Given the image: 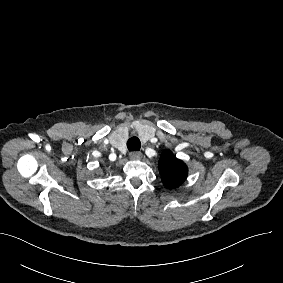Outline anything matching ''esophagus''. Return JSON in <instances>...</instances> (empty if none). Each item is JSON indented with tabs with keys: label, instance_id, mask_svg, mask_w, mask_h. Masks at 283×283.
<instances>
[{
	"label": "esophagus",
	"instance_id": "obj_1",
	"mask_svg": "<svg viewBox=\"0 0 283 283\" xmlns=\"http://www.w3.org/2000/svg\"><path fill=\"white\" fill-rule=\"evenodd\" d=\"M143 157L142 153L139 151H134L129 154L130 160H141Z\"/></svg>",
	"mask_w": 283,
	"mask_h": 283
}]
</instances>
